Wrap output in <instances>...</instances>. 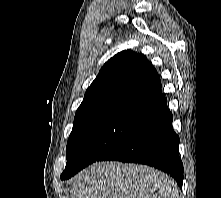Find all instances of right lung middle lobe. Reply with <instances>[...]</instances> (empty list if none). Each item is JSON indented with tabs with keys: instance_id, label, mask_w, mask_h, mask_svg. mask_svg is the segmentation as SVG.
Segmentation results:
<instances>
[{
	"instance_id": "dd1d6c3e",
	"label": "right lung middle lobe",
	"mask_w": 221,
	"mask_h": 198,
	"mask_svg": "<svg viewBox=\"0 0 221 198\" xmlns=\"http://www.w3.org/2000/svg\"><path fill=\"white\" fill-rule=\"evenodd\" d=\"M142 121L112 117L95 120L72 130L66 147V167L60 178L69 179L98 161L105 153L131 135Z\"/></svg>"
}]
</instances>
